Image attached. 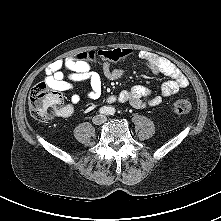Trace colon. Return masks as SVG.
<instances>
[{
	"instance_id": "colon-1",
	"label": "colon",
	"mask_w": 221,
	"mask_h": 221,
	"mask_svg": "<svg viewBox=\"0 0 221 221\" xmlns=\"http://www.w3.org/2000/svg\"><path fill=\"white\" fill-rule=\"evenodd\" d=\"M130 54L128 49H112L102 51H87L75 56L76 60L95 63L98 60L105 62H118ZM63 95L60 91L49 88L46 84L39 83L34 86L29 95V109L32 116L38 121H47L63 109ZM173 110L177 115H187L192 110L189 101L178 99L173 104Z\"/></svg>"
}]
</instances>
